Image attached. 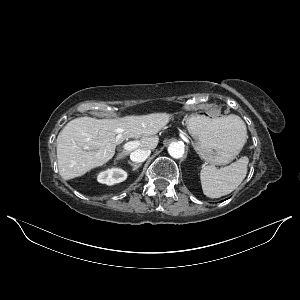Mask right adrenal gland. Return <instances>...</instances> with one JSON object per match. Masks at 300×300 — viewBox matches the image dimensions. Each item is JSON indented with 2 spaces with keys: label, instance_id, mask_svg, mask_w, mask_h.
Segmentation results:
<instances>
[{
  "label": "right adrenal gland",
  "instance_id": "right-adrenal-gland-1",
  "mask_svg": "<svg viewBox=\"0 0 300 300\" xmlns=\"http://www.w3.org/2000/svg\"><path fill=\"white\" fill-rule=\"evenodd\" d=\"M128 163H129L131 166H133L132 171L137 170V169L142 165V164H135V163H132V162H130V161H128Z\"/></svg>",
  "mask_w": 300,
  "mask_h": 300
}]
</instances>
